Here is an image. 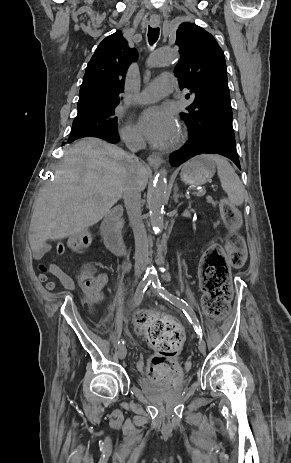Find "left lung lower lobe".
Segmentation results:
<instances>
[{
  "instance_id": "0a47b994",
  "label": "left lung lower lobe",
  "mask_w": 291,
  "mask_h": 463,
  "mask_svg": "<svg viewBox=\"0 0 291 463\" xmlns=\"http://www.w3.org/2000/svg\"><path fill=\"white\" fill-rule=\"evenodd\" d=\"M200 154H216L229 158L240 168L235 138L213 132L189 131L185 146L170 156V164L178 167L188 159Z\"/></svg>"
}]
</instances>
